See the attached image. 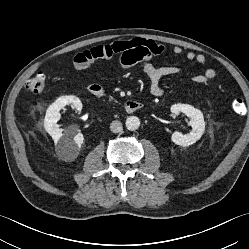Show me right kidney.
Here are the masks:
<instances>
[{
	"label": "right kidney",
	"instance_id": "right-kidney-1",
	"mask_svg": "<svg viewBox=\"0 0 249 249\" xmlns=\"http://www.w3.org/2000/svg\"><path fill=\"white\" fill-rule=\"evenodd\" d=\"M66 105H72L78 111L82 109V103L76 96H61L48 107L44 127L56 144L58 156L64 161H73L79 154L84 136L81 133H76V129L72 127L62 133L63 129L57 125L61 118L60 110Z\"/></svg>",
	"mask_w": 249,
	"mask_h": 249
}]
</instances>
